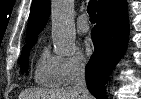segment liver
Wrapping results in <instances>:
<instances>
[{"instance_id":"1","label":"liver","mask_w":141,"mask_h":99,"mask_svg":"<svg viewBox=\"0 0 141 99\" xmlns=\"http://www.w3.org/2000/svg\"><path fill=\"white\" fill-rule=\"evenodd\" d=\"M19 99H82V96L73 87H67L57 90L28 89L19 95Z\"/></svg>"}]
</instances>
